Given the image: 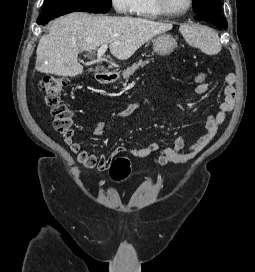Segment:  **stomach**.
<instances>
[{"label": "stomach", "instance_id": "1", "mask_svg": "<svg viewBox=\"0 0 255 272\" xmlns=\"http://www.w3.org/2000/svg\"><path fill=\"white\" fill-rule=\"evenodd\" d=\"M176 47V39L167 33H161L153 40V50L161 56L170 55Z\"/></svg>", "mask_w": 255, "mask_h": 272}]
</instances>
